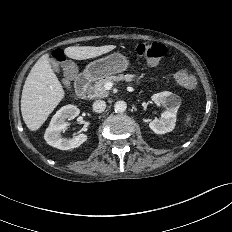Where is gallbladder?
I'll list each match as a JSON object with an SVG mask.
<instances>
[{"label":"gallbladder","mask_w":232,"mask_h":232,"mask_svg":"<svg viewBox=\"0 0 232 232\" xmlns=\"http://www.w3.org/2000/svg\"><path fill=\"white\" fill-rule=\"evenodd\" d=\"M49 63L55 71H58V62L54 58L49 57Z\"/></svg>","instance_id":"1"}]
</instances>
